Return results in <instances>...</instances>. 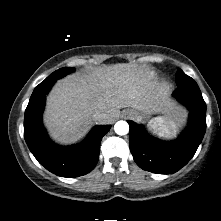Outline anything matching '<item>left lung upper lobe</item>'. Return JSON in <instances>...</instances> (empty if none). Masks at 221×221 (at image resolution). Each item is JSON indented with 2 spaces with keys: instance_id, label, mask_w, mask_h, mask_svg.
<instances>
[{
  "instance_id": "5c2ea615",
  "label": "left lung upper lobe",
  "mask_w": 221,
  "mask_h": 221,
  "mask_svg": "<svg viewBox=\"0 0 221 221\" xmlns=\"http://www.w3.org/2000/svg\"><path fill=\"white\" fill-rule=\"evenodd\" d=\"M176 84L178 89H196L199 90L197 83L181 69L176 74Z\"/></svg>"
}]
</instances>
